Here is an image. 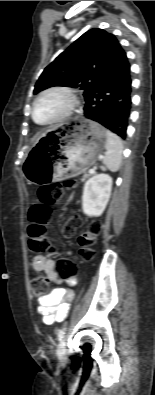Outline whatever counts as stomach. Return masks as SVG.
Returning a JSON list of instances; mask_svg holds the SVG:
<instances>
[{
	"label": "stomach",
	"instance_id": "0dacf381",
	"mask_svg": "<svg viewBox=\"0 0 155 395\" xmlns=\"http://www.w3.org/2000/svg\"><path fill=\"white\" fill-rule=\"evenodd\" d=\"M105 144V128L76 117L38 140L23 163V174L36 185L80 174L96 161Z\"/></svg>",
	"mask_w": 155,
	"mask_h": 395
}]
</instances>
